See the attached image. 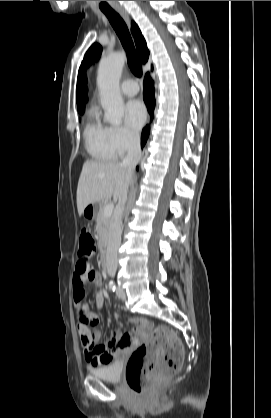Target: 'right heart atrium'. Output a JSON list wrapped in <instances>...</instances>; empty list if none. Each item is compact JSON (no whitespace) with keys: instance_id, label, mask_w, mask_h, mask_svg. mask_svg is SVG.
<instances>
[{"instance_id":"obj_1","label":"right heart atrium","mask_w":271,"mask_h":418,"mask_svg":"<svg viewBox=\"0 0 271 418\" xmlns=\"http://www.w3.org/2000/svg\"><path fill=\"white\" fill-rule=\"evenodd\" d=\"M110 140L117 155H123L137 146L138 135L126 126H112L110 127Z\"/></svg>"}]
</instances>
